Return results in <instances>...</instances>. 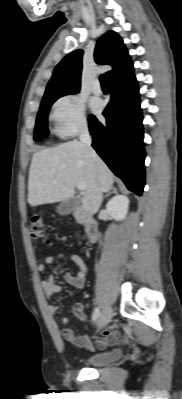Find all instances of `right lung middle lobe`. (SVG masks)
Instances as JSON below:
<instances>
[{"label": "right lung middle lobe", "instance_id": "1", "mask_svg": "<svg viewBox=\"0 0 182 399\" xmlns=\"http://www.w3.org/2000/svg\"><path fill=\"white\" fill-rule=\"evenodd\" d=\"M61 96L42 99L34 132V139L41 140L48 135L47 116L51 105Z\"/></svg>", "mask_w": 182, "mask_h": 399}]
</instances>
